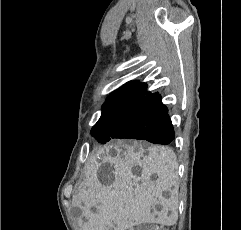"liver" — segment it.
Listing matches in <instances>:
<instances>
[{
    "label": "liver",
    "mask_w": 241,
    "mask_h": 230,
    "mask_svg": "<svg viewBox=\"0 0 241 230\" xmlns=\"http://www.w3.org/2000/svg\"><path fill=\"white\" fill-rule=\"evenodd\" d=\"M97 157L100 163L96 162ZM135 166L141 168L140 176L133 174ZM101 168L107 169L113 178L110 186L100 182ZM177 169L176 155L168 147L151 146L144 150L120 144L100 149L93 157L81 191L72 199L87 220L80 224L81 230H109L114 224L117 230L141 223L174 225L178 219L177 192L172 191L166 199L162 191L177 184ZM153 175H157L156 180L151 179ZM157 204L162 206L161 211L154 209Z\"/></svg>",
    "instance_id": "liver-1"
}]
</instances>
